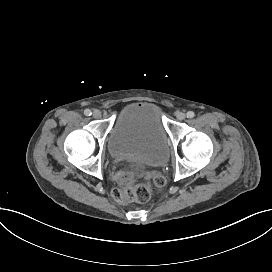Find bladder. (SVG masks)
<instances>
[{
  "label": "bladder",
  "instance_id": "bladder-1",
  "mask_svg": "<svg viewBox=\"0 0 272 272\" xmlns=\"http://www.w3.org/2000/svg\"><path fill=\"white\" fill-rule=\"evenodd\" d=\"M106 147L115 159H130L150 166L165 164L169 147L161 108L141 104L122 108L110 131Z\"/></svg>",
  "mask_w": 272,
  "mask_h": 272
}]
</instances>
